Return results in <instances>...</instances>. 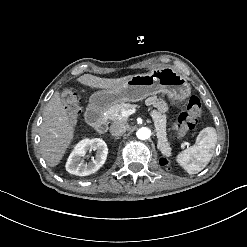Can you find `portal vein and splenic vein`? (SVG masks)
I'll list each match as a JSON object with an SVG mask.
<instances>
[{"label":"portal vein and splenic vein","instance_id":"1","mask_svg":"<svg viewBox=\"0 0 247 247\" xmlns=\"http://www.w3.org/2000/svg\"><path fill=\"white\" fill-rule=\"evenodd\" d=\"M136 112V109L135 108H132V109H129V110H125L122 112V116L123 117H129L130 115L134 114ZM184 145L185 146H192V143H189L188 141H185L184 142Z\"/></svg>","mask_w":247,"mask_h":247}]
</instances>
